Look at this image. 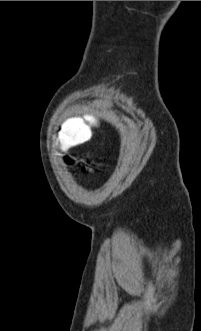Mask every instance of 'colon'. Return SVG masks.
<instances>
[{
    "label": "colon",
    "mask_w": 201,
    "mask_h": 331,
    "mask_svg": "<svg viewBox=\"0 0 201 331\" xmlns=\"http://www.w3.org/2000/svg\"><path fill=\"white\" fill-rule=\"evenodd\" d=\"M97 126L93 116L70 117L62 122L57 131V138L65 147L77 146L88 142L91 129Z\"/></svg>",
    "instance_id": "1"
}]
</instances>
